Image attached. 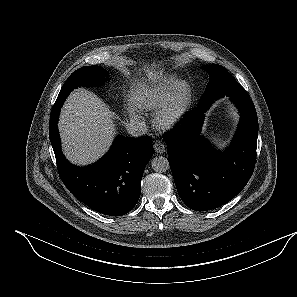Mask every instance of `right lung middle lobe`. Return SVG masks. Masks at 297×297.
<instances>
[{"mask_svg": "<svg viewBox=\"0 0 297 297\" xmlns=\"http://www.w3.org/2000/svg\"><path fill=\"white\" fill-rule=\"evenodd\" d=\"M108 73L100 66H86L74 71L62 86L58 99L66 98L79 86H97L104 83Z\"/></svg>", "mask_w": 297, "mask_h": 297, "instance_id": "right-lung-middle-lobe-1", "label": "right lung middle lobe"}]
</instances>
